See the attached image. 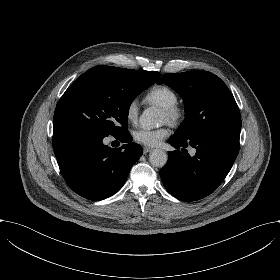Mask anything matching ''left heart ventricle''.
<instances>
[{"instance_id":"1","label":"left heart ventricle","mask_w":280,"mask_h":280,"mask_svg":"<svg viewBox=\"0 0 280 280\" xmlns=\"http://www.w3.org/2000/svg\"><path fill=\"white\" fill-rule=\"evenodd\" d=\"M162 119H163V121H167V116L163 110H162Z\"/></svg>"}]
</instances>
